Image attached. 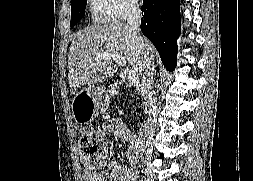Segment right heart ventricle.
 <instances>
[{
    "mask_svg": "<svg viewBox=\"0 0 253 181\" xmlns=\"http://www.w3.org/2000/svg\"><path fill=\"white\" fill-rule=\"evenodd\" d=\"M90 18L95 23H106L111 20L106 0H88Z\"/></svg>",
    "mask_w": 253,
    "mask_h": 181,
    "instance_id": "right-heart-ventricle-1",
    "label": "right heart ventricle"
}]
</instances>
